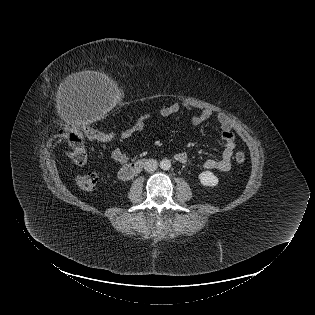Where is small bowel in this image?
Segmentation results:
<instances>
[{
    "label": "small bowel",
    "mask_w": 315,
    "mask_h": 315,
    "mask_svg": "<svg viewBox=\"0 0 315 315\" xmlns=\"http://www.w3.org/2000/svg\"><path fill=\"white\" fill-rule=\"evenodd\" d=\"M181 106L178 103H173L160 110V115L163 117L172 116L180 111ZM185 108L191 113V120L194 124H201L204 121L214 116V112L210 109L198 110L189 105ZM216 119L221 128V145L223 147L222 156L220 159H207L204 162V168L207 170H218L222 172L229 171L232 167L233 154L236 147L235 135L232 129V122L225 113H218ZM151 120L149 114L141 115L133 125L122 130L119 134V142L131 138L136 133L144 130L145 125ZM111 158L119 164L128 162L129 157L122 148H115L111 152ZM175 159L178 162L184 163L187 160V154L183 151L175 154Z\"/></svg>",
    "instance_id": "obj_1"
}]
</instances>
